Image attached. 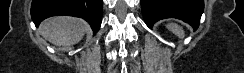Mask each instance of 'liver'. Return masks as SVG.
Listing matches in <instances>:
<instances>
[{
	"instance_id": "liver-1",
	"label": "liver",
	"mask_w": 244,
	"mask_h": 73,
	"mask_svg": "<svg viewBox=\"0 0 244 73\" xmlns=\"http://www.w3.org/2000/svg\"><path fill=\"white\" fill-rule=\"evenodd\" d=\"M40 30L42 36L49 42L57 46H70L84 37L87 23L79 18L57 16L45 20Z\"/></svg>"
}]
</instances>
